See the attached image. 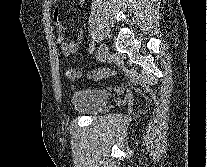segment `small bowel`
Returning a JSON list of instances; mask_svg holds the SVG:
<instances>
[{"label": "small bowel", "instance_id": "c3829d8e", "mask_svg": "<svg viewBox=\"0 0 207 167\" xmlns=\"http://www.w3.org/2000/svg\"><path fill=\"white\" fill-rule=\"evenodd\" d=\"M85 1L86 0H80V2L82 4L85 3ZM54 19H55V29L59 35L58 43L61 47L63 55L69 56V55L75 53L78 50L79 44L81 43V41L83 39V32L79 31L76 35L75 40L71 41L66 37V35L64 33L65 28H64V25L59 20V10L58 9H56L54 11Z\"/></svg>", "mask_w": 207, "mask_h": 167}]
</instances>
